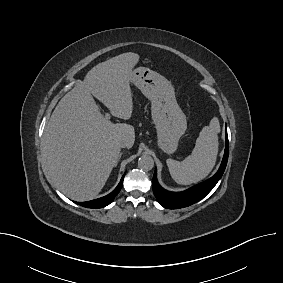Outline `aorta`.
<instances>
[{"label":"aorta","instance_id":"obj_1","mask_svg":"<svg viewBox=\"0 0 283 283\" xmlns=\"http://www.w3.org/2000/svg\"><path fill=\"white\" fill-rule=\"evenodd\" d=\"M154 166V160L149 155H142L138 159V167L143 171H150Z\"/></svg>","mask_w":283,"mask_h":283}]
</instances>
